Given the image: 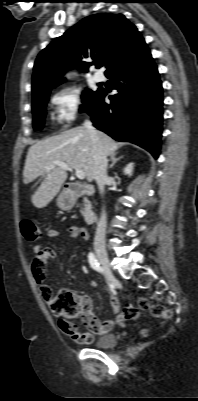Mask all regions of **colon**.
I'll use <instances>...</instances> for the list:
<instances>
[{"label": "colon", "instance_id": "colon-1", "mask_svg": "<svg viewBox=\"0 0 198 401\" xmlns=\"http://www.w3.org/2000/svg\"><path fill=\"white\" fill-rule=\"evenodd\" d=\"M20 230L23 237L28 241H36L41 236L39 227L36 225L34 220L29 217H25L20 221ZM46 300H50L51 311L55 316L69 319L80 315L83 322L86 324L80 299L71 291L61 290L54 298H52L51 294V296ZM139 310L149 311L153 316L159 318H169L171 316V311L165 306L158 303H151L147 298L140 297L138 298V308L134 306L123 308V310L118 314L117 320L119 322H124L134 319L138 316ZM65 322L70 323L69 321ZM73 332V330H70V333Z\"/></svg>", "mask_w": 198, "mask_h": 401}]
</instances>
